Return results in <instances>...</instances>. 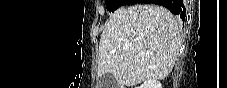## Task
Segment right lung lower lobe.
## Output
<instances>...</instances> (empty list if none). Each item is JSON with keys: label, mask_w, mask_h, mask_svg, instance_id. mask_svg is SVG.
Masks as SVG:
<instances>
[{"label": "right lung lower lobe", "mask_w": 227, "mask_h": 88, "mask_svg": "<svg viewBox=\"0 0 227 88\" xmlns=\"http://www.w3.org/2000/svg\"><path fill=\"white\" fill-rule=\"evenodd\" d=\"M134 2L162 5L169 9L173 14L180 16L182 20H184L186 16L184 0H134Z\"/></svg>", "instance_id": "1"}]
</instances>
